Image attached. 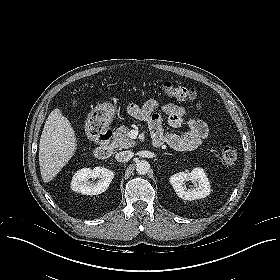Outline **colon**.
Wrapping results in <instances>:
<instances>
[{"label": "colon", "instance_id": "5ec220e1", "mask_svg": "<svg viewBox=\"0 0 280 280\" xmlns=\"http://www.w3.org/2000/svg\"><path fill=\"white\" fill-rule=\"evenodd\" d=\"M162 92L165 96L173 97L185 102H194L197 99V92L194 88L175 85L170 81H163L161 84ZM237 150L233 147L227 146L222 149L221 158L226 166H232L237 160Z\"/></svg>", "mask_w": 280, "mask_h": 280}]
</instances>
